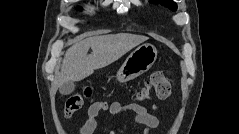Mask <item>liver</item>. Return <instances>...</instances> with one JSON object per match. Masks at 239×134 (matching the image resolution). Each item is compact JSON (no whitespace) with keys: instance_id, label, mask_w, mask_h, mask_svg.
Segmentation results:
<instances>
[{"instance_id":"liver-1","label":"liver","mask_w":239,"mask_h":134,"mask_svg":"<svg viewBox=\"0 0 239 134\" xmlns=\"http://www.w3.org/2000/svg\"><path fill=\"white\" fill-rule=\"evenodd\" d=\"M146 40L148 38L142 35L119 33L94 36L77 42L64 56L59 85L83 80L93 74L94 70L110 65ZM90 48L92 53L87 55Z\"/></svg>"}]
</instances>
